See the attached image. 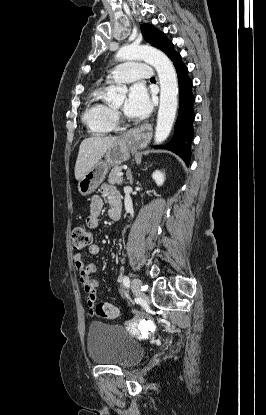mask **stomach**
<instances>
[{"label":"stomach","instance_id":"1","mask_svg":"<svg viewBox=\"0 0 266 415\" xmlns=\"http://www.w3.org/2000/svg\"><path fill=\"white\" fill-rule=\"evenodd\" d=\"M131 139L122 137L118 139L106 151L104 160H100L78 181V191L82 196H87L105 179L111 166H118L130 158Z\"/></svg>","mask_w":266,"mask_h":415}]
</instances>
